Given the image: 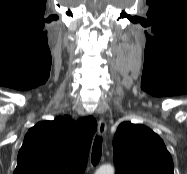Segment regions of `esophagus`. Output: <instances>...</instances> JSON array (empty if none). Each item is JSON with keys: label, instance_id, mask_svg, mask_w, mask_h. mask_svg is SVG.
Listing matches in <instances>:
<instances>
[{"label": "esophagus", "instance_id": "1", "mask_svg": "<svg viewBox=\"0 0 187 174\" xmlns=\"http://www.w3.org/2000/svg\"><path fill=\"white\" fill-rule=\"evenodd\" d=\"M106 128H107V125H106V122L105 120L101 117L99 120H98V133L99 135H104L105 132H106Z\"/></svg>", "mask_w": 187, "mask_h": 174}]
</instances>
